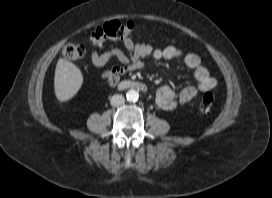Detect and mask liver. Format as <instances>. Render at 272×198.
Segmentation results:
<instances>
[{"instance_id":"6515ba94","label":"liver","mask_w":272,"mask_h":198,"mask_svg":"<svg viewBox=\"0 0 272 198\" xmlns=\"http://www.w3.org/2000/svg\"><path fill=\"white\" fill-rule=\"evenodd\" d=\"M83 83L80 69L72 62L60 58L57 62L54 77L55 95L59 101L74 97Z\"/></svg>"}]
</instances>
